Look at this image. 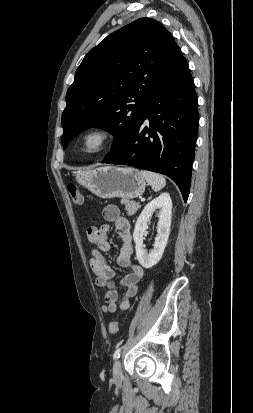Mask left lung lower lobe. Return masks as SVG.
<instances>
[{
  "label": "left lung lower lobe",
  "mask_w": 253,
  "mask_h": 413,
  "mask_svg": "<svg viewBox=\"0 0 253 413\" xmlns=\"http://www.w3.org/2000/svg\"><path fill=\"white\" fill-rule=\"evenodd\" d=\"M146 119L149 126H144ZM198 125L194 81L179 50L168 75L149 99L128 145L103 162L164 174L177 184L186 202Z\"/></svg>",
  "instance_id": "1"
}]
</instances>
